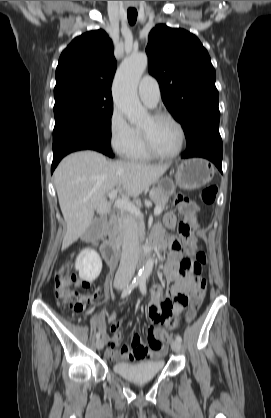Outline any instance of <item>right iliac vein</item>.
Instances as JSON below:
<instances>
[{"label":"right iliac vein","instance_id":"63e3f726","mask_svg":"<svg viewBox=\"0 0 271 418\" xmlns=\"http://www.w3.org/2000/svg\"><path fill=\"white\" fill-rule=\"evenodd\" d=\"M104 344H105L104 339H97V341H96V347H97L98 350L103 349Z\"/></svg>","mask_w":271,"mask_h":418}]
</instances>
